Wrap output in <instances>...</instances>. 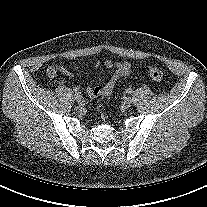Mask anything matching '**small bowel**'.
Segmentation results:
<instances>
[{
	"label": "small bowel",
	"instance_id": "1",
	"mask_svg": "<svg viewBox=\"0 0 207 207\" xmlns=\"http://www.w3.org/2000/svg\"><path fill=\"white\" fill-rule=\"evenodd\" d=\"M100 66L101 62L96 61L94 63L95 68H99ZM103 66L107 69H112L113 73L104 84L87 86L86 92L91 98L109 95L113 91L119 78L129 76L132 71L130 63L126 61L116 62L108 59L103 63ZM59 72L69 77L73 75L70 69L60 65H52L47 70V73L50 77H55Z\"/></svg>",
	"mask_w": 207,
	"mask_h": 207
}]
</instances>
